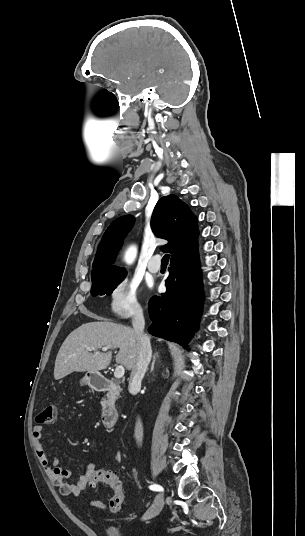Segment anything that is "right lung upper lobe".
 I'll list each match as a JSON object with an SVG mask.
<instances>
[{
    "mask_svg": "<svg viewBox=\"0 0 305 536\" xmlns=\"http://www.w3.org/2000/svg\"><path fill=\"white\" fill-rule=\"evenodd\" d=\"M133 222V216L126 215L113 221L107 228L92 265V281L126 274L124 268L111 264ZM151 227L157 237L169 241L161 249L172 254L171 260L198 247L197 219L189 207L174 194L162 197L157 202L151 218Z\"/></svg>",
    "mask_w": 305,
    "mask_h": 536,
    "instance_id": "obj_1",
    "label": "right lung upper lobe"
}]
</instances>
